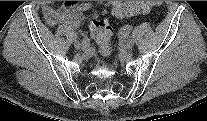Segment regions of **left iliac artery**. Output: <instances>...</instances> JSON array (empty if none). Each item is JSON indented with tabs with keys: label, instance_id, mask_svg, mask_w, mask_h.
Returning <instances> with one entry per match:
<instances>
[{
	"label": "left iliac artery",
	"instance_id": "44dca946",
	"mask_svg": "<svg viewBox=\"0 0 207 121\" xmlns=\"http://www.w3.org/2000/svg\"><path fill=\"white\" fill-rule=\"evenodd\" d=\"M131 30V25L130 24H125L122 29L120 30V32L118 33V38L120 41L124 42L127 40V35L129 33V31Z\"/></svg>",
	"mask_w": 207,
	"mask_h": 121
}]
</instances>
